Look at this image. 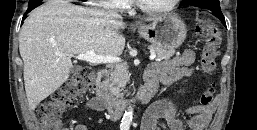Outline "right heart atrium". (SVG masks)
Instances as JSON below:
<instances>
[{
	"instance_id": "obj_1",
	"label": "right heart atrium",
	"mask_w": 257,
	"mask_h": 130,
	"mask_svg": "<svg viewBox=\"0 0 257 130\" xmlns=\"http://www.w3.org/2000/svg\"><path fill=\"white\" fill-rule=\"evenodd\" d=\"M131 2L132 0H103L100 4L111 8L126 9Z\"/></svg>"
}]
</instances>
